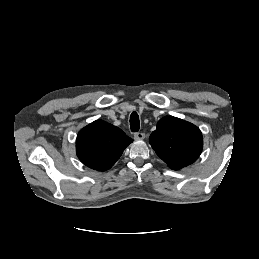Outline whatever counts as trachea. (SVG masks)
Instances as JSON below:
<instances>
[{"label":"trachea","mask_w":259,"mask_h":259,"mask_svg":"<svg viewBox=\"0 0 259 259\" xmlns=\"http://www.w3.org/2000/svg\"><path fill=\"white\" fill-rule=\"evenodd\" d=\"M130 128L132 132H138L140 128L139 116L136 112L130 115Z\"/></svg>","instance_id":"trachea-1"}]
</instances>
